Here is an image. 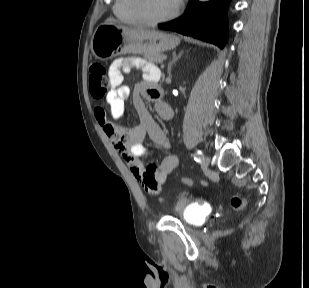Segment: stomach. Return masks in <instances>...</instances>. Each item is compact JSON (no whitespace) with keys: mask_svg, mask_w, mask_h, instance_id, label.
I'll use <instances>...</instances> for the list:
<instances>
[{"mask_svg":"<svg viewBox=\"0 0 309 288\" xmlns=\"http://www.w3.org/2000/svg\"><path fill=\"white\" fill-rule=\"evenodd\" d=\"M179 43L180 38L175 35L106 22L96 28L91 51L95 58L104 61L125 53L158 54L174 49Z\"/></svg>","mask_w":309,"mask_h":288,"instance_id":"1","label":"stomach"}]
</instances>
